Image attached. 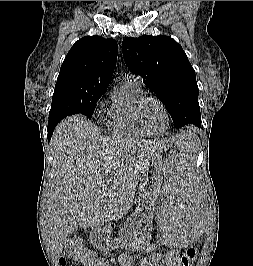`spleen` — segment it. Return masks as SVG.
<instances>
[{
  "label": "spleen",
  "instance_id": "obj_1",
  "mask_svg": "<svg viewBox=\"0 0 253 266\" xmlns=\"http://www.w3.org/2000/svg\"><path fill=\"white\" fill-rule=\"evenodd\" d=\"M178 144H199V135H178ZM201 155L200 147H175L164 161L166 184L161 193L169 199L167 207L157 211V245L162 248H193L200 242L203 229L202 216L208 215L207 207H199L196 199H203V190L194 189L196 160Z\"/></svg>",
  "mask_w": 253,
  "mask_h": 266
}]
</instances>
